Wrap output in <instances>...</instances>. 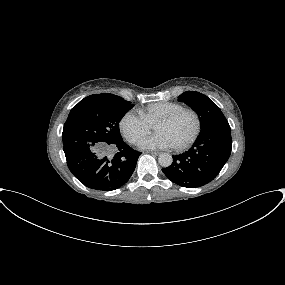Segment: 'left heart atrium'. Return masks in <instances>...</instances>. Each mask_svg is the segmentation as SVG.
Masks as SVG:
<instances>
[{
    "label": "left heart atrium",
    "mask_w": 285,
    "mask_h": 285,
    "mask_svg": "<svg viewBox=\"0 0 285 285\" xmlns=\"http://www.w3.org/2000/svg\"><path fill=\"white\" fill-rule=\"evenodd\" d=\"M139 146L143 149H165L173 147L170 140L163 133H155L142 139Z\"/></svg>",
    "instance_id": "39dd6f15"
}]
</instances>
